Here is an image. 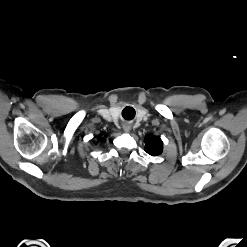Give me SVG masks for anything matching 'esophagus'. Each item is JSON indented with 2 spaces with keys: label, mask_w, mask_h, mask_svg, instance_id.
Wrapping results in <instances>:
<instances>
[{
  "label": "esophagus",
  "mask_w": 247,
  "mask_h": 247,
  "mask_svg": "<svg viewBox=\"0 0 247 247\" xmlns=\"http://www.w3.org/2000/svg\"><path fill=\"white\" fill-rule=\"evenodd\" d=\"M125 132H129L130 131V126L129 125H124L123 127Z\"/></svg>",
  "instance_id": "esophagus-1"
}]
</instances>
